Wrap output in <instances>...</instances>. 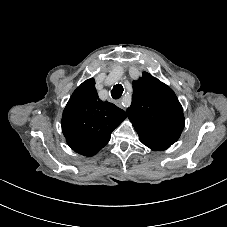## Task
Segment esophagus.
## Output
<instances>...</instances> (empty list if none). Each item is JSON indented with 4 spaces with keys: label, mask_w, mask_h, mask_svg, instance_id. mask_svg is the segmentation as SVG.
Returning <instances> with one entry per match:
<instances>
[{
    "label": "esophagus",
    "mask_w": 227,
    "mask_h": 227,
    "mask_svg": "<svg viewBox=\"0 0 227 227\" xmlns=\"http://www.w3.org/2000/svg\"><path fill=\"white\" fill-rule=\"evenodd\" d=\"M115 104H116L118 107L123 108V103H122L121 100H117V101L115 102Z\"/></svg>",
    "instance_id": "esophagus-1"
}]
</instances>
